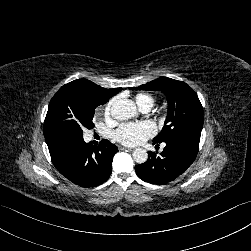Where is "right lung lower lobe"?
Masks as SVG:
<instances>
[{"label": "right lung lower lobe", "mask_w": 251, "mask_h": 251, "mask_svg": "<svg viewBox=\"0 0 251 251\" xmlns=\"http://www.w3.org/2000/svg\"><path fill=\"white\" fill-rule=\"evenodd\" d=\"M56 169L81 187H94L105 182L112 170L117 146L102 140L98 147L85 143L83 137L54 133L45 137Z\"/></svg>", "instance_id": "right-lung-lower-lobe-1"}]
</instances>
